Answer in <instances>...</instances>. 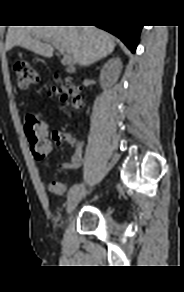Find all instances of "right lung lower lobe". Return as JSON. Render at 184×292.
Returning <instances> with one entry per match:
<instances>
[{"instance_id":"98d812e1","label":"right lung lower lobe","mask_w":184,"mask_h":292,"mask_svg":"<svg viewBox=\"0 0 184 292\" xmlns=\"http://www.w3.org/2000/svg\"><path fill=\"white\" fill-rule=\"evenodd\" d=\"M120 38L125 45L135 52L142 26L97 25Z\"/></svg>"}]
</instances>
